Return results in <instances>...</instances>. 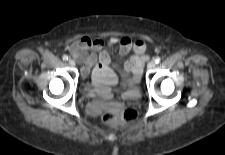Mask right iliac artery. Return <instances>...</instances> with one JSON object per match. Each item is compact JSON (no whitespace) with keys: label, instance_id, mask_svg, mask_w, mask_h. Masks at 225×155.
Segmentation results:
<instances>
[{"label":"right iliac artery","instance_id":"82829eb1","mask_svg":"<svg viewBox=\"0 0 225 155\" xmlns=\"http://www.w3.org/2000/svg\"><path fill=\"white\" fill-rule=\"evenodd\" d=\"M62 58H63L64 61H67L68 60V56L67 55H63Z\"/></svg>","mask_w":225,"mask_h":155}]
</instances>
